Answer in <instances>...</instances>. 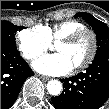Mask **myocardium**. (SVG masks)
<instances>
[{"instance_id":"1","label":"myocardium","mask_w":109,"mask_h":109,"mask_svg":"<svg viewBox=\"0 0 109 109\" xmlns=\"http://www.w3.org/2000/svg\"><path fill=\"white\" fill-rule=\"evenodd\" d=\"M84 34H89L91 37V42H92L91 51L89 56L84 62L72 68L73 71H80L87 68L95 59V56L98 50V38H97L96 32L93 29L85 27L75 31L74 33L70 34L69 36L65 38L60 39L57 43V44L71 45L74 42H76Z\"/></svg>"}]
</instances>
